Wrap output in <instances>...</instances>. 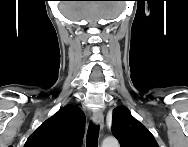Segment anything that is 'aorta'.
I'll list each match as a JSON object with an SVG mask.
<instances>
[{
  "label": "aorta",
  "mask_w": 188,
  "mask_h": 147,
  "mask_svg": "<svg viewBox=\"0 0 188 147\" xmlns=\"http://www.w3.org/2000/svg\"><path fill=\"white\" fill-rule=\"evenodd\" d=\"M102 146L103 147H118L119 142L114 137H108V138L104 139Z\"/></svg>",
  "instance_id": "obj_1"
}]
</instances>
